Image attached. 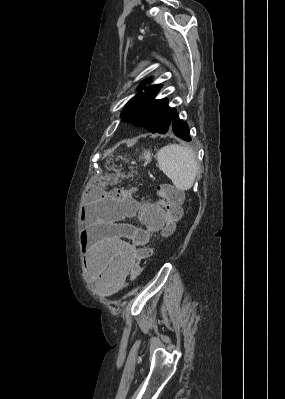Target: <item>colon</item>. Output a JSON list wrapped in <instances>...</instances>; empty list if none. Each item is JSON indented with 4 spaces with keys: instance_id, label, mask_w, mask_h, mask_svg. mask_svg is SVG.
<instances>
[{
    "instance_id": "1",
    "label": "colon",
    "mask_w": 285,
    "mask_h": 399,
    "mask_svg": "<svg viewBox=\"0 0 285 399\" xmlns=\"http://www.w3.org/2000/svg\"><path fill=\"white\" fill-rule=\"evenodd\" d=\"M111 177H99L92 181V186L99 188L101 187L102 181H111ZM137 189H125L121 187H115L110 191L111 196L115 198H127L133 195ZM157 193L161 197V205L168 213L169 222L163 229L162 235L168 236L174 229V224L178 220L180 215V203H181V191L171 185H160L157 188ZM151 249L149 247L139 248L136 252V257L132 264V274L137 276L143 270L142 260L145 256L150 255Z\"/></svg>"
}]
</instances>
